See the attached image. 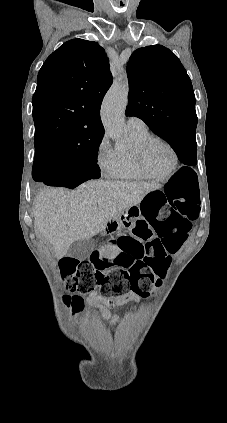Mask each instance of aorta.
Returning a JSON list of instances; mask_svg holds the SVG:
<instances>
[{"label":"aorta","instance_id":"obj_1","mask_svg":"<svg viewBox=\"0 0 227 423\" xmlns=\"http://www.w3.org/2000/svg\"><path fill=\"white\" fill-rule=\"evenodd\" d=\"M128 82L115 81L104 97L100 114L106 134L115 141L116 146L125 144L124 113L128 101Z\"/></svg>","mask_w":227,"mask_h":423}]
</instances>
